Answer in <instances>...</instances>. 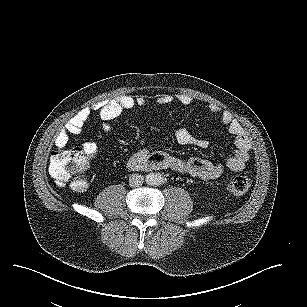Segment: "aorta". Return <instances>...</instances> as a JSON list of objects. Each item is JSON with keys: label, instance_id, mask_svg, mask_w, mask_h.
I'll return each mask as SVG.
<instances>
[{"label": "aorta", "instance_id": "aorta-1", "mask_svg": "<svg viewBox=\"0 0 307 307\" xmlns=\"http://www.w3.org/2000/svg\"><path fill=\"white\" fill-rule=\"evenodd\" d=\"M151 185H160L163 182V177L160 173H153L148 177Z\"/></svg>", "mask_w": 307, "mask_h": 307}]
</instances>
